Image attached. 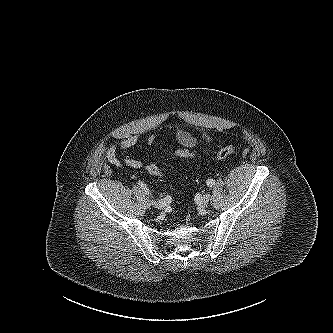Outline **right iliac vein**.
<instances>
[{
  "instance_id": "right-iliac-vein-1",
  "label": "right iliac vein",
  "mask_w": 333,
  "mask_h": 333,
  "mask_svg": "<svg viewBox=\"0 0 333 333\" xmlns=\"http://www.w3.org/2000/svg\"><path fill=\"white\" fill-rule=\"evenodd\" d=\"M151 204H152L153 207L158 208V209H163V208L166 206V205H165L163 202H161L160 200H159V201H157V200H152V201H151Z\"/></svg>"
}]
</instances>
